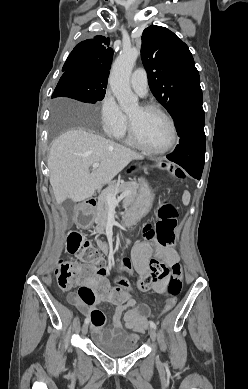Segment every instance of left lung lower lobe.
Returning a JSON list of instances; mask_svg holds the SVG:
<instances>
[{"label": "left lung lower lobe", "mask_w": 248, "mask_h": 389, "mask_svg": "<svg viewBox=\"0 0 248 389\" xmlns=\"http://www.w3.org/2000/svg\"><path fill=\"white\" fill-rule=\"evenodd\" d=\"M203 98L181 106L173 116L180 137L175 151L167 159L183 167L192 177L200 179L204 167L205 133Z\"/></svg>", "instance_id": "obj_1"}]
</instances>
